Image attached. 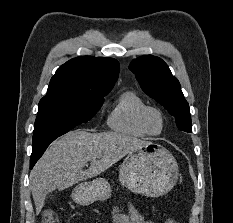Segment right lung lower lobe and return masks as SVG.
Wrapping results in <instances>:
<instances>
[{
	"mask_svg": "<svg viewBox=\"0 0 233 223\" xmlns=\"http://www.w3.org/2000/svg\"><path fill=\"white\" fill-rule=\"evenodd\" d=\"M44 152L42 153H38V154H34V155H31V158H30V168L32 169L34 164L37 162V160L42 156Z\"/></svg>",
	"mask_w": 233,
	"mask_h": 223,
	"instance_id": "1",
	"label": "right lung lower lobe"
}]
</instances>
